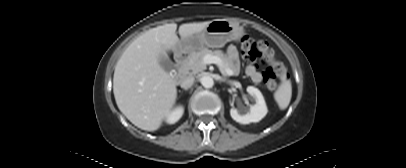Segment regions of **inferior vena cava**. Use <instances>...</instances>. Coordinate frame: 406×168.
<instances>
[{"label":"inferior vena cava","mask_w":406,"mask_h":168,"mask_svg":"<svg viewBox=\"0 0 406 168\" xmlns=\"http://www.w3.org/2000/svg\"><path fill=\"white\" fill-rule=\"evenodd\" d=\"M194 83L193 76H186L181 80L180 86L183 89H189Z\"/></svg>","instance_id":"602c4592"}]
</instances>
